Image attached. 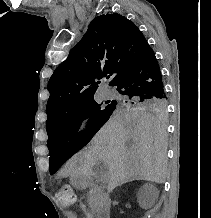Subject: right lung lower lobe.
<instances>
[{
	"label": "right lung lower lobe",
	"instance_id": "98d812e1",
	"mask_svg": "<svg viewBox=\"0 0 211 218\" xmlns=\"http://www.w3.org/2000/svg\"><path fill=\"white\" fill-rule=\"evenodd\" d=\"M112 86L131 98H166L159 64L151 49L135 61Z\"/></svg>",
	"mask_w": 211,
	"mask_h": 218
}]
</instances>
